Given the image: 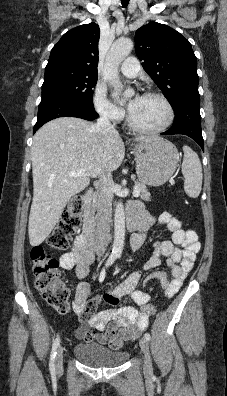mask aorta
Listing matches in <instances>:
<instances>
[{
	"label": "aorta",
	"mask_w": 227,
	"mask_h": 396,
	"mask_svg": "<svg viewBox=\"0 0 227 396\" xmlns=\"http://www.w3.org/2000/svg\"><path fill=\"white\" fill-rule=\"evenodd\" d=\"M133 49V42L128 38L116 40L105 59L103 70L104 80L114 88L121 87L118 77V68L122 61L129 55ZM125 240V213L124 206L121 202L116 205L114 214V241L113 251L122 252Z\"/></svg>",
	"instance_id": "obj_1"
}]
</instances>
